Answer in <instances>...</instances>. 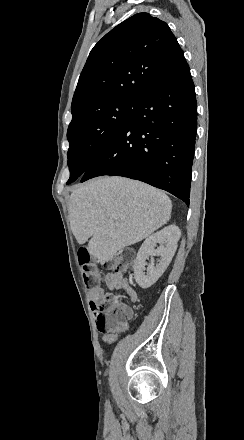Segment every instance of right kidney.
Wrapping results in <instances>:
<instances>
[{
	"label": "right kidney",
	"mask_w": 244,
	"mask_h": 440,
	"mask_svg": "<svg viewBox=\"0 0 244 440\" xmlns=\"http://www.w3.org/2000/svg\"><path fill=\"white\" fill-rule=\"evenodd\" d=\"M181 232L178 226H166L160 232L152 234L143 242L138 250L134 264V280L140 288L146 290L157 282L168 268L176 250L177 242L180 240ZM157 244H160L157 248ZM149 256H161L159 264H147ZM145 266H148L147 270ZM146 270V272H145Z\"/></svg>",
	"instance_id": "obj_1"
}]
</instances>
